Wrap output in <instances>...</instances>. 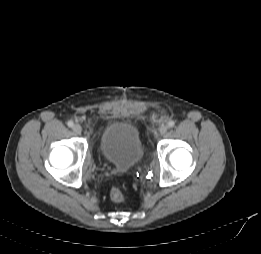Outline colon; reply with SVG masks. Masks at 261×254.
<instances>
[{"mask_svg": "<svg viewBox=\"0 0 261 254\" xmlns=\"http://www.w3.org/2000/svg\"><path fill=\"white\" fill-rule=\"evenodd\" d=\"M110 198L113 202L120 203L125 199L124 193L118 188H112L110 191Z\"/></svg>", "mask_w": 261, "mask_h": 254, "instance_id": "obj_1", "label": "colon"}]
</instances>
